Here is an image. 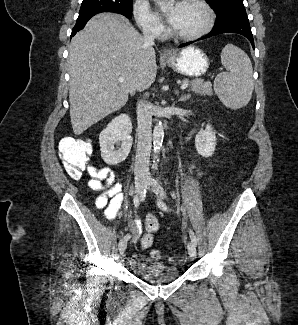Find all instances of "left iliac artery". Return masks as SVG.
Segmentation results:
<instances>
[{
	"label": "left iliac artery",
	"mask_w": 298,
	"mask_h": 325,
	"mask_svg": "<svg viewBox=\"0 0 298 325\" xmlns=\"http://www.w3.org/2000/svg\"><path fill=\"white\" fill-rule=\"evenodd\" d=\"M157 205H158V207L160 209H162L164 211L170 210V208H168L167 205L164 202H162L161 200H158ZM189 234H190L191 241L196 245L197 244V238H196L194 232L192 230H190Z\"/></svg>",
	"instance_id": "left-iliac-artery-1"
}]
</instances>
